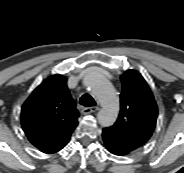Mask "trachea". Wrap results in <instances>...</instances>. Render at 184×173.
<instances>
[{
	"mask_svg": "<svg viewBox=\"0 0 184 173\" xmlns=\"http://www.w3.org/2000/svg\"><path fill=\"white\" fill-rule=\"evenodd\" d=\"M79 103L84 107L95 106L96 102L90 94H83L79 100Z\"/></svg>",
	"mask_w": 184,
	"mask_h": 173,
	"instance_id": "obj_1",
	"label": "trachea"
}]
</instances>
